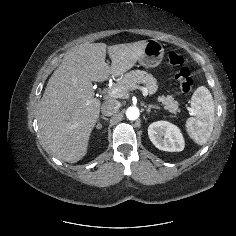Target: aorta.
Returning a JSON list of instances; mask_svg holds the SVG:
<instances>
[{"mask_svg": "<svg viewBox=\"0 0 236 236\" xmlns=\"http://www.w3.org/2000/svg\"><path fill=\"white\" fill-rule=\"evenodd\" d=\"M139 109L131 106L126 110V116L129 120H136L139 117Z\"/></svg>", "mask_w": 236, "mask_h": 236, "instance_id": "762f6f07", "label": "aorta"}]
</instances>
